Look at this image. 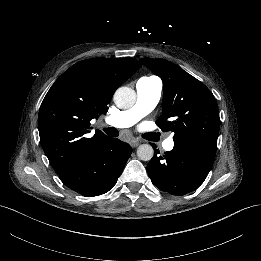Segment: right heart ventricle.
<instances>
[{
	"label": "right heart ventricle",
	"instance_id": "e07e8e85",
	"mask_svg": "<svg viewBox=\"0 0 261 261\" xmlns=\"http://www.w3.org/2000/svg\"><path fill=\"white\" fill-rule=\"evenodd\" d=\"M139 80H160V79L154 75H144Z\"/></svg>",
	"mask_w": 261,
	"mask_h": 261
}]
</instances>
